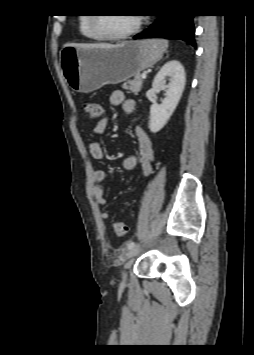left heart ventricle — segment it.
<instances>
[{
	"label": "left heart ventricle",
	"instance_id": "b2bd125f",
	"mask_svg": "<svg viewBox=\"0 0 254 355\" xmlns=\"http://www.w3.org/2000/svg\"><path fill=\"white\" fill-rule=\"evenodd\" d=\"M135 18V15H111L102 18L101 27L106 33L120 34L133 27Z\"/></svg>",
	"mask_w": 254,
	"mask_h": 355
}]
</instances>
